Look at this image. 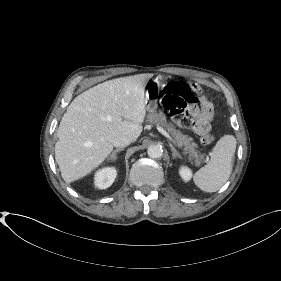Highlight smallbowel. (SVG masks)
<instances>
[{
    "label": "small bowel",
    "instance_id": "obj_1",
    "mask_svg": "<svg viewBox=\"0 0 281 281\" xmlns=\"http://www.w3.org/2000/svg\"><path fill=\"white\" fill-rule=\"evenodd\" d=\"M192 115L195 118V132L197 134H204L210 129V121L213 118V106L211 102L205 97L200 98V107L192 110Z\"/></svg>",
    "mask_w": 281,
    "mask_h": 281
}]
</instances>
